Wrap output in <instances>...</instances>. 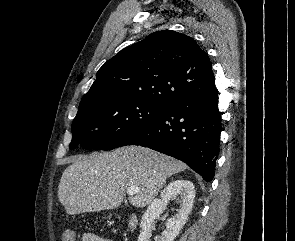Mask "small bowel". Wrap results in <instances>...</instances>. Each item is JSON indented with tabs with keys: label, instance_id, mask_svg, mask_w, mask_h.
<instances>
[{
	"label": "small bowel",
	"instance_id": "c3829d8e",
	"mask_svg": "<svg viewBox=\"0 0 295 241\" xmlns=\"http://www.w3.org/2000/svg\"><path fill=\"white\" fill-rule=\"evenodd\" d=\"M83 241H110V240L102 239L100 237L94 236L93 234L86 233L83 236Z\"/></svg>",
	"mask_w": 295,
	"mask_h": 241
}]
</instances>
